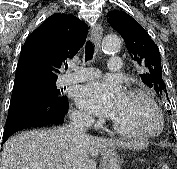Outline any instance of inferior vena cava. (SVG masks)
Here are the masks:
<instances>
[{
	"instance_id": "inferior-vena-cava-1",
	"label": "inferior vena cava",
	"mask_w": 177,
	"mask_h": 169,
	"mask_svg": "<svg viewBox=\"0 0 177 169\" xmlns=\"http://www.w3.org/2000/svg\"><path fill=\"white\" fill-rule=\"evenodd\" d=\"M92 123L93 119L91 116L83 115L75 118L74 121L70 123L66 129L74 135L85 136L86 130Z\"/></svg>"
}]
</instances>
